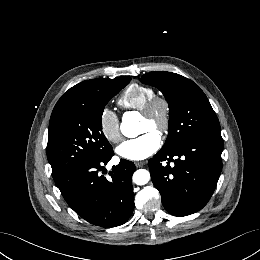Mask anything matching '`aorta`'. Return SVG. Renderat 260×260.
Returning a JSON list of instances; mask_svg holds the SVG:
<instances>
[{
    "label": "aorta",
    "mask_w": 260,
    "mask_h": 260,
    "mask_svg": "<svg viewBox=\"0 0 260 260\" xmlns=\"http://www.w3.org/2000/svg\"><path fill=\"white\" fill-rule=\"evenodd\" d=\"M120 129L122 134L129 138H134L140 133L137 121L129 115L123 117ZM149 180L150 173L146 169H138L133 174V182L137 185H145Z\"/></svg>",
    "instance_id": "obj_1"
}]
</instances>
